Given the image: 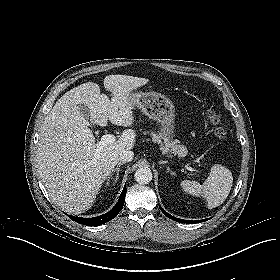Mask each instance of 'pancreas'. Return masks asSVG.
I'll return each mask as SVG.
<instances>
[{
	"label": "pancreas",
	"instance_id": "1",
	"mask_svg": "<svg viewBox=\"0 0 280 280\" xmlns=\"http://www.w3.org/2000/svg\"><path fill=\"white\" fill-rule=\"evenodd\" d=\"M152 141L158 144H161L160 149L164 154L171 152L174 155L184 157L187 154V148L184 145L178 144L177 141H166L165 144H162L161 137L154 132H151Z\"/></svg>",
	"mask_w": 280,
	"mask_h": 280
}]
</instances>
